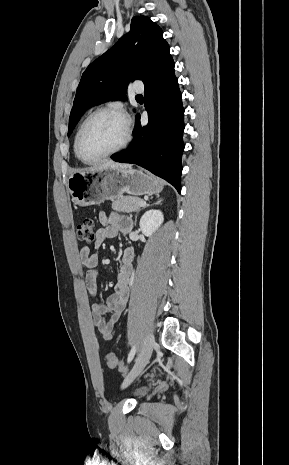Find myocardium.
<instances>
[{"mask_svg": "<svg viewBox=\"0 0 289 465\" xmlns=\"http://www.w3.org/2000/svg\"><path fill=\"white\" fill-rule=\"evenodd\" d=\"M103 113H108V114H113V115H117L119 117H121L125 123V137H124V140L122 141V143L116 147L115 149L111 150V151H108L96 158H92V159H88V158H85L82 153H81V139H82V135H83V132H84V129L87 125V123L93 118L95 117L96 115H99V114H103ZM131 138H132V131H131V125H130V121L127 117V115L119 108L117 107H113V106H102V107H99L97 109H95L94 111H92L84 120L83 122L81 123L77 133H76V137H75V144H74V147H75V153L77 155V157L84 163H87V164H92V163H96L104 158H107V157H110L112 155H115L119 152H121L122 150H124L130 143L131 141Z\"/></svg>", "mask_w": 289, "mask_h": 465, "instance_id": "obj_1", "label": "myocardium"}]
</instances>
